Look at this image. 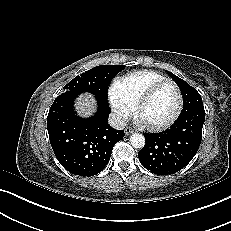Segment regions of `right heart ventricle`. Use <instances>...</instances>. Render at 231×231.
Returning a JSON list of instances; mask_svg holds the SVG:
<instances>
[{
  "label": "right heart ventricle",
  "mask_w": 231,
  "mask_h": 231,
  "mask_svg": "<svg viewBox=\"0 0 231 231\" xmlns=\"http://www.w3.org/2000/svg\"><path fill=\"white\" fill-rule=\"evenodd\" d=\"M163 79V76L153 71L137 72L120 81L116 86V91L122 102L130 108L148 88Z\"/></svg>",
  "instance_id": "e07e8e85"
}]
</instances>
